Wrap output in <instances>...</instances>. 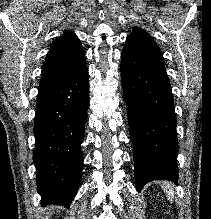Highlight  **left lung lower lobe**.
Returning <instances> with one entry per match:
<instances>
[{
  "label": "left lung lower lobe",
  "instance_id": "0a47b994",
  "mask_svg": "<svg viewBox=\"0 0 211 219\" xmlns=\"http://www.w3.org/2000/svg\"><path fill=\"white\" fill-rule=\"evenodd\" d=\"M121 58L137 190L153 180L177 183V119L161 50L151 39L128 36Z\"/></svg>",
  "mask_w": 211,
  "mask_h": 219
}]
</instances>
